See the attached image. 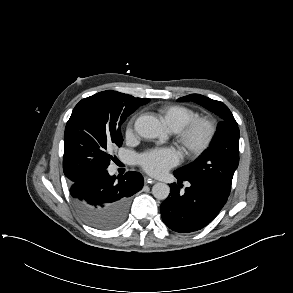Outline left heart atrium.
Instances as JSON below:
<instances>
[{
  "instance_id": "left-heart-atrium-1",
  "label": "left heart atrium",
  "mask_w": 293,
  "mask_h": 293,
  "mask_svg": "<svg viewBox=\"0 0 293 293\" xmlns=\"http://www.w3.org/2000/svg\"><path fill=\"white\" fill-rule=\"evenodd\" d=\"M179 161L177 152L172 148L152 149L144 153L140 159L141 167L153 176H161Z\"/></svg>"
}]
</instances>
